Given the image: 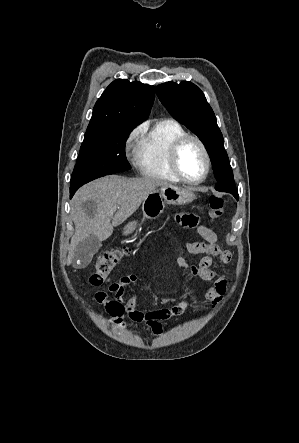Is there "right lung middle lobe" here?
Returning a JSON list of instances; mask_svg holds the SVG:
<instances>
[{
    "instance_id": "obj_1",
    "label": "right lung middle lobe",
    "mask_w": 299,
    "mask_h": 443,
    "mask_svg": "<svg viewBox=\"0 0 299 443\" xmlns=\"http://www.w3.org/2000/svg\"><path fill=\"white\" fill-rule=\"evenodd\" d=\"M134 126H119L85 134L70 189L102 176L131 169L125 155V141Z\"/></svg>"
}]
</instances>
